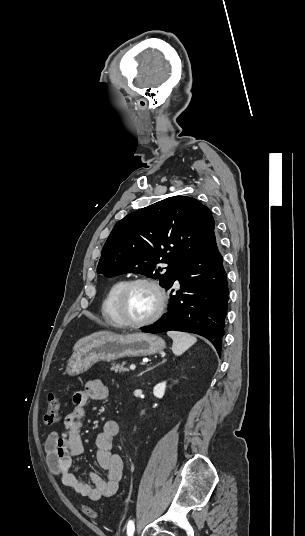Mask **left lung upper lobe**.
Returning <instances> with one entry per match:
<instances>
[{
    "label": "left lung upper lobe",
    "mask_w": 305,
    "mask_h": 536,
    "mask_svg": "<svg viewBox=\"0 0 305 536\" xmlns=\"http://www.w3.org/2000/svg\"><path fill=\"white\" fill-rule=\"evenodd\" d=\"M210 210L192 197L173 196L135 211L113 228L97 266L108 277L145 274L166 287L214 233ZM169 266L163 272L160 264Z\"/></svg>",
    "instance_id": "obj_1"
}]
</instances>
